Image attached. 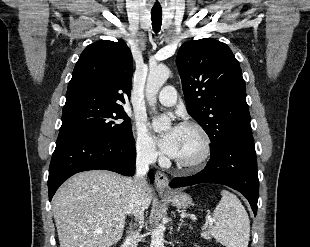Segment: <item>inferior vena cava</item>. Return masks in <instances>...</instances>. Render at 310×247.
Segmentation results:
<instances>
[{
  "instance_id": "inferior-vena-cava-1",
  "label": "inferior vena cava",
  "mask_w": 310,
  "mask_h": 247,
  "mask_svg": "<svg viewBox=\"0 0 310 247\" xmlns=\"http://www.w3.org/2000/svg\"><path fill=\"white\" fill-rule=\"evenodd\" d=\"M157 153L150 144H145L137 147L136 154V174L133 179H129V201L128 214L134 215L139 219L140 227L144 222V208L141 200V189L147 184L145 175L149 171V165L156 161ZM140 240L139 231L131 232L127 238L126 243L130 247H137Z\"/></svg>"
}]
</instances>
